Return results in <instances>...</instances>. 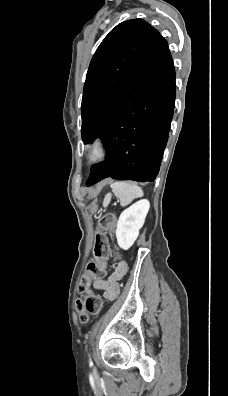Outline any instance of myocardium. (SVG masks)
Returning a JSON list of instances; mask_svg holds the SVG:
<instances>
[{
  "instance_id": "f54148a6",
  "label": "myocardium",
  "mask_w": 228,
  "mask_h": 396,
  "mask_svg": "<svg viewBox=\"0 0 228 396\" xmlns=\"http://www.w3.org/2000/svg\"><path fill=\"white\" fill-rule=\"evenodd\" d=\"M108 152V142L104 139L97 138L93 140L89 147L88 159L91 163H100L107 158Z\"/></svg>"
}]
</instances>
